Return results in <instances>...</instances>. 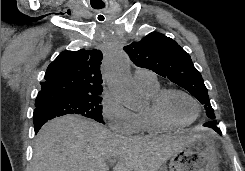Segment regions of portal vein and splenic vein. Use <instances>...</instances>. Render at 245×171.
I'll return each instance as SVG.
<instances>
[{
	"label": "portal vein and splenic vein",
	"mask_w": 245,
	"mask_h": 171,
	"mask_svg": "<svg viewBox=\"0 0 245 171\" xmlns=\"http://www.w3.org/2000/svg\"><path fill=\"white\" fill-rule=\"evenodd\" d=\"M108 162H109L110 164H112V165H113V164H115V163H116V160L111 159V160H109Z\"/></svg>",
	"instance_id": "1"
}]
</instances>
